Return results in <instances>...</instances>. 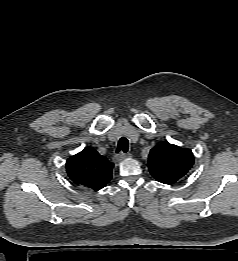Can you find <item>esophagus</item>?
Instances as JSON below:
<instances>
[{
    "instance_id": "1",
    "label": "esophagus",
    "mask_w": 238,
    "mask_h": 261,
    "mask_svg": "<svg viewBox=\"0 0 238 261\" xmlns=\"http://www.w3.org/2000/svg\"><path fill=\"white\" fill-rule=\"evenodd\" d=\"M130 156H131L130 153L125 154V153H123V152H120V153H118L117 155H115V160H116L117 162H120V161H122L123 159H125L126 157H130Z\"/></svg>"
}]
</instances>
